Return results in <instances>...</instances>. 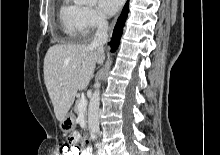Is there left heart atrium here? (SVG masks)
<instances>
[{
  "label": "left heart atrium",
  "instance_id": "39dd6f15",
  "mask_svg": "<svg viewBox=\"0 0 220 155\" xmlns=\"http://www.w3.org/2000/svg\"><path fill=\"white\" fill-rule=\"evenodd\" d=\"M123 0H98V8L106 15H114L121 7Z\"/></svg>",
  "mask_w": 220,
  "mask_h": 155
}]
</instances>
